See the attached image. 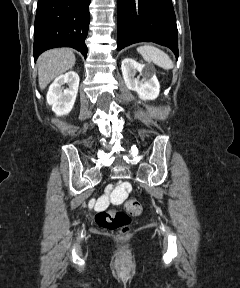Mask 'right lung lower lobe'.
<instances>
[{
  "instance_id": "right-lung-lower-lobe-1",
  "label": "right lung lower lobe",
  "mask_w": 240,
  "mask_h": 288,
  "mask_svg": "<svg viewBox=\"0 0 240 288\" xmlns=\"http://www.w3.org/2000/svg\"><path fill=\"white\" fill-rule=\"evenodd\" d=\"M91 0H38L34 25V58L45 50L72 47L86 58Z\"/></svg>"
}]
</instances>
